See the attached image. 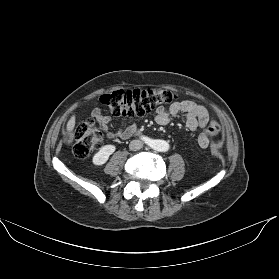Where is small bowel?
Returning a JSON list of instances; mask_svg holds the SVG:
<instances>
[{
  "label": "small bowel",
  "instance_id": "obj_1",
  "mask_svg": "<svg viewBox=\"0 0 279 279\" xmlns=\"http://www.w3.org/2000/svg\"><path fill=\"white\" fill-rule=\"evenodd\" d=\"M179 114L184 115L186 125L190 130L195 131L197 129H203V132L198 137V143L200 148L206 149L209 146L211 140V136L207 133L210 117L208 111L203 106L198 105L194 101L182 100L172 103L167 108H157L155 121L159 125H166L172 118L178 116ZM91 115L105 130L106 135L109 139L126 138L128 132L136 129L134 125H131L126 129L120 127L115 132H109L106 128L109 117L103 115L100 108H95L92 111Z\"/></svg>",
  "mask_w": 279,
  "mask_h": 279
}]
</instances>
